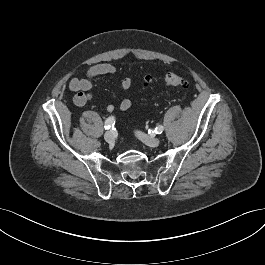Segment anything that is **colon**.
I'll return each instance as SVG.
<instances>
[{"mask_svg":"<svg viewBox=\"0 0 265 265\" xmlns=\"http://www.w3.org/2000/svg\"><path fill=\"white\" fill-rule=\"evenodd\" d=\"M144 81L146 85H149L152 83L153 78L152 76L147 75ZM164 81L166 85L172 88L186 89L189 86V82L187 81V79L173 72H167L164 77Z\"/></svg>","mask_w":265,"mask_h":265,"instance_id":"colon-1","label":"colon"}]
</instances>
